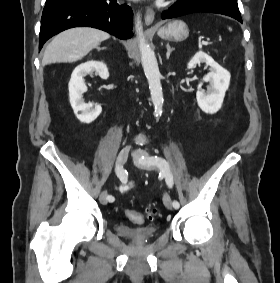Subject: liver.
<instances>
[{"label": "liver", "instance_id": "1", "mask_svg": "<svg viewBox=\"0 0 280 283\" xmlns=\"http://www.w3.org/2000/svg\"><path fill=\"white\" fill-rule=\"evenodd\" d=\"M109 38L108 33L90 27L66 30L46 47L43 65L78 61Z\"/></svg>", "mask_w": 280, "mask_h": 283}]
</instances>
